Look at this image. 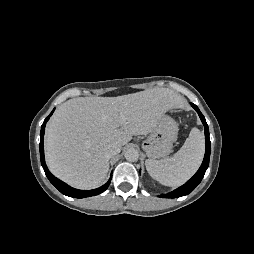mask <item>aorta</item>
I'll return each mask as SVG.
<instances>
[{
	"mask_svg": "<svg viewBox=\"0 0 254 254\" xmlns=\"http://www.w3.org/2000/svg\"><path fill=\"white\" fill-rule=\"evenodd\" d=\"M124 156L127 161L135 162L139 158V152L134 148H130L125 152Z\"/></svg>",
	"mask_w": 254,
	"mask_h": 254,
	"instance_id": "762f6f07",
	"label": "aorta"
}]
</instances>
